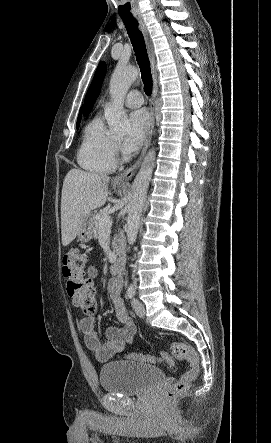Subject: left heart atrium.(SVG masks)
Instances as JSON below:
<instances>
[{
    "instance_id": "left-heart-atrium-1",
    "label": "left heart atrium",
    "mask_w": 271,
    "mask_h": 443,
    "mask_svg": "<svg viewBox=\"0 0 271 443\" xmlns=\"http://www.w3.org/2000/svg\"><path fill=\"white\" fill-rule=\"evenodd\" d=\"M130 132L123 141V148L128 153L136 152L143 145L150 130V119L145 109H137L130 113Z\"/></svg>"
}]
</instances>
